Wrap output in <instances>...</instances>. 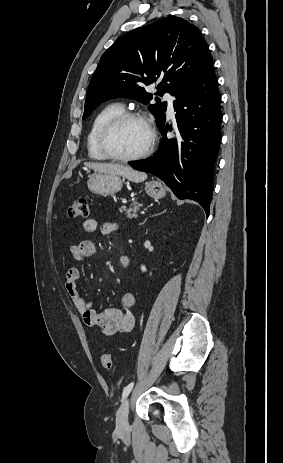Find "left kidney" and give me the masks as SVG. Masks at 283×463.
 I'll list each match as a JSON object with an SVG mask.
<instances>
[{"mask_svg": "<svg viewBox=\"0 0 283 463\" xmlns=\"http://www.w3.org/2000/svg\"><path fill=\"white\" fill-rule=\"evenodd\" d=\"M141 270H142L143 272H145V271H146V267H145L144 265H142V266H141Z\"/></svg>", "mask_w": 283, "mask_h": 463, "instance_id": "5707ae66", "label": "left kidney"}]
</instances>
